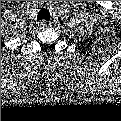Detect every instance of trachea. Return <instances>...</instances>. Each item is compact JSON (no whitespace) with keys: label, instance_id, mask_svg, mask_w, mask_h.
<instances>
[{"label":"trachea","instance_id":"trachea-1","mask_svg":"<svg viewBox=\"0 0 121 121\" xmlns=\"http://www.w3.org/2000/svg\"><path fill=\"white\" fill-rule=\"evenodd\" d=\"M37 20H50V13L47 9H41L37 15Z\"/></svg>","mask_w":121,"mask_h":121}]
</instances>
